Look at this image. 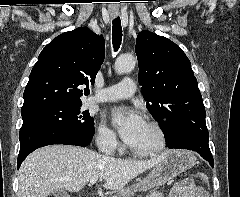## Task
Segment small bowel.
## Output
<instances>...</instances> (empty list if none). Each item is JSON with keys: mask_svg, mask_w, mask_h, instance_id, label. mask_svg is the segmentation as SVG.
<instances>
[{"mask_svg": "<svg viewBox=\"0 0 240 197\" xmlns=\"http://www.w3.org/2000/svg\"><path fill=\"white\" fill-rule=\"evenodd\" d=\"M170 197H209L208 192L187 180L179 183L171 192Z\"/></svg>", "mask_w": 240, "mask_h": 197, "instance_id": "obj_1", "label": "small bowel"}]
</instances>
